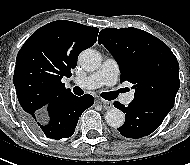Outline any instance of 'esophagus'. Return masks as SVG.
Listing matches in <instances>:
<instances>
[{
  "label": "esophagus",
  "instance_id": "34e87169",
  "mask_svg": "<svg viewBox=\"0 0 190 165\" xmlns=\"http://www.w3.org/2000/svg\"><path fill=\"white\" fill-rule=\"evenodd\" d=\"M99 103L102 104L104 109L106 110L111 109L113 107V104L110 101L99 100Z\"/></svg>",
  "mask_w": 190,
  "mask_h": 165
}]
</instances>
